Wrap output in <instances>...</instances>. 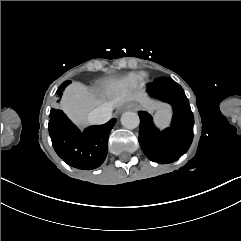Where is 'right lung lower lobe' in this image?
<instances>
[{
    "instance_id": "obj_1",
    "label": "right lung lower lobe",
    "mask_w": 241,
    "mask_h": 241,
    "mask_svg": "<svg viewBox=\"0 0 241 241\" xmlns=\"http://www.w3.org/2000/svg\"><path fill=\"white\" fill-rule=\"evenodd\" d=\"M49 134L58 156L68 165L83 170L99 167L108 152V136L116 123L111 119L103 125H95L81 132L62 110L49 115Z\"/></svg>"
}]
</instances>
